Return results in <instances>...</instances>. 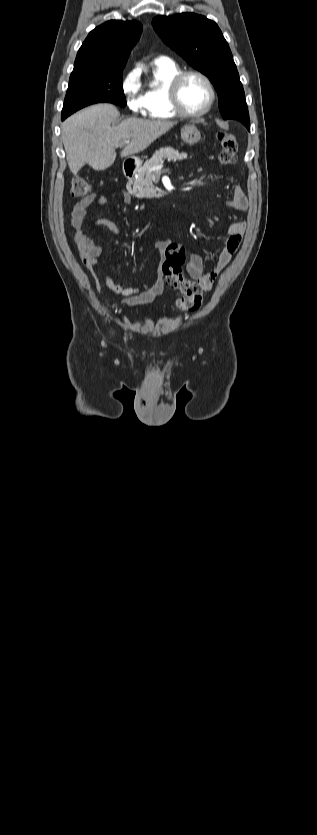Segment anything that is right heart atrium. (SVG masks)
Returning <instances> with one entry per match:
<instances>
[{
	"label": "right heart atrium",
	"mask_w": 317,
	"mask_h": 835,
	"mask_svg": "<svg viewBox=\"0 0 317 835\" xmlns=\"http://www.w3.org/2000/svg\"><path fill=\"white\" fill-rule=\"evenodd\" d=\"M121 90L125 97L128 108L135 114L145 112V101L140 89L138 74L135 71L128 72L122 82Z\"/></svg>",
	"instance_id": "d8ad5b80"
}]
</instances>
